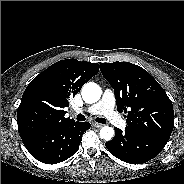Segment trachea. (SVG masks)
Listing matches in <instances>:
<instances>
[{
  "label": "trachea",
  "instance_id": "3493384b",
  "mask_svg": "<svg viewBox=\"0 0 184 184\" xmlns=\"http://www.w3.org/2000/svg\"><path fill=\"white\" fill-rule=\"evenodd\" d=\"M76 119H77V121H85L86 120L85 116L82 114H78L76 116ZM96 122L105 124L106 120L104 118H96Z\"/></svg>",
  "mask_w": 184,
  "mask_h": 184
}]
</instances>
